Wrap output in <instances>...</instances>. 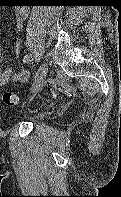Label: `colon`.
Here are the masks:
<instances>
[{
    "mask_svg": "<svg viewBox=\"0 0 121 197\" xmlns=\"http://www.w3.org/2000/svg\"><path fill=\"white\" fill-rule=\"evenodd\" d=\"M2 101L7 106H14L18 103V97L12 92H4Z\"/></svg>",
    "mask_w": 121,
    "mask_h": 197,
    "instance_id": "obj_1",
    "label": "colon"
}]
</instances>
